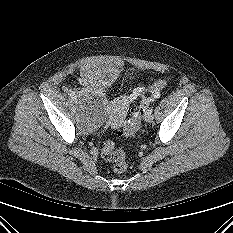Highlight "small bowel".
<instances>
[{
    "label": "small bowel",
    "mask_w": 233,
    "mask_h": 233,
    "mask_svg": "<svg viewBox=\"0 0 233 233\" xmlns=\"http://www.w3.org/2000/svg\"><path fill=\"white\" fill-rule=\"evenodd\" d=\"M136 98V95H127L121 97L117 103L115 104V111L117 113L118 118H121L124 114L126 107L132 103Z\"/></svg>",
    "instance_id": "obj_1"
}]
</instances>
